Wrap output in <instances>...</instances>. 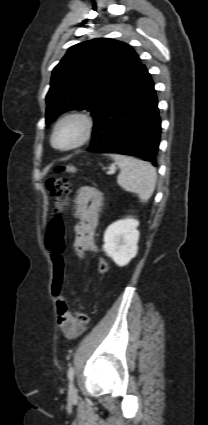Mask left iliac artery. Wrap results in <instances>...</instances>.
I'll list each match as a JSON object with an SVG mask.
<instances>
[{"label":"left iliac artery","instance_id":"obj_1","mask_svg":"<svg viewBox=\"0 0 208 425\" xmlns=\"http://www.w3.org/2000/svg\"><path fill=\"white\" fill-rule=\"evenodd\" d=\"M67 376H68V379L70 381L73 380V378H74V368L72 366L69 367V369L67 371Z\"/></svg>","mask_w":208,"mask_h":425}]
</instances>
